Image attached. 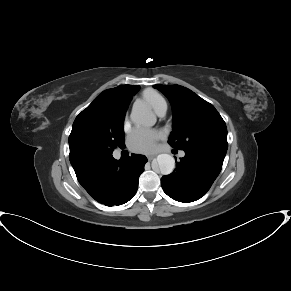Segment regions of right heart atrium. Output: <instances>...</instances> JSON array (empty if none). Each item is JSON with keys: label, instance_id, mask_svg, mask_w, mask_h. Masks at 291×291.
I'll use <instances>...</instances> for the list:
<instances>
[{"label": "right heart atrium", "instance_id": "obj_1", "mask_svg": "<svg viewBox=\"0 0 291 291\" xmlns=\"http://www.w3.org/2000/svg\"><path fill=\"white\" fill-rule=\"evenodd\" d=\"M125 124H127V119H125Z\"/></svg>", "mask_w": 291, "mask_h": 291}]
</instances>
